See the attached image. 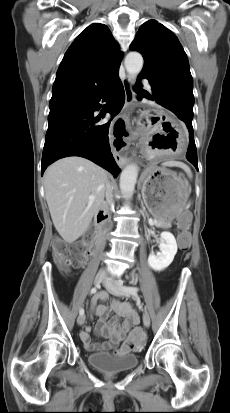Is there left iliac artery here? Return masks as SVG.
<instances>
[{"mask_svg": "<svg viewBox=\"0 0 230 413\" xmlns=\"http://www.w3.org/2000/svg\"><path fill=\"white\" fill-rule=\"evenodd\" d=\"M121 289L126 293V294H131V295H137L139 288L134 287V286H121Z\"/></svg>", "mask_w": 230, "mask_h": 413, "instance_id": "left-iliac-artery-1", "label": "left iliac artery"}]
</instances>
